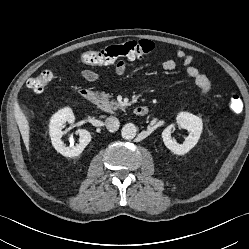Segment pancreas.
Instances as JSON below:
<instances>
[{"instance_id": "cf45deb5", "label": "pancreas", "mask_w": 249, "mask_h": 249, "mask_svg": "<svg viewBox=\"0 0 249 249\" xmlns=\"http://www.w3.org/2000/svg\"><path fill=\"white\" fill-rule=\"evenodd\" d=\"M110 98V94L101 92L98 97L97 106L101 110L109 113H114L118 109H124L122 104L114 100H110Z\"/></svg>"}]
</instances>
